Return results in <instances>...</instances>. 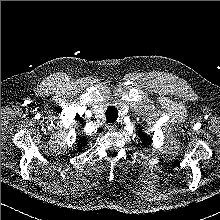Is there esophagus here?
<instances>
[{"mask_svg": "<svg viewBox=\"0 0 220 220\" xmlns=\"http://www.w3.org/2000/svg\"><path fill=\"white\" fill-rule=\"evenodd\" d=\"M105 128H106L108 131H114V130H116V125L109 123V124H107V125L105 126Z\"/></svg>", "mask_w": 220, "mask_h": 220, "instance_id": "34e87169", "label": "esophagus"}]
</instances>
